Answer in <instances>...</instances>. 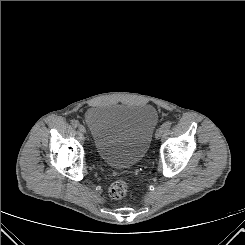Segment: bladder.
<instances>
[{
	"label": "bladder",
	"mask_w": 245,
	"mask_h": 245,
	"mask_svg": "<svg viewBox=\"0 0 245 245\" xmlns=\"http://www.w3.org/2000/svg\"><path fill=\"white\" fill-rule=\"evenodd\" d=\"M94 151L113 168L137 164L145 156L158 123V113L149 104H103L85 114Z\"/></svg>",
	"instance_id": "obj_1"
}]
</instances>
